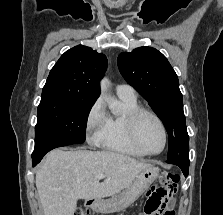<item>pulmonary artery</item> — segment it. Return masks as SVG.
<instances>
[{"label": "pulmonary artery", "instance_id": "obj_1", "mask_svg": "<svg viewBox=\"0 0 223 215\" xmlns=\"http://www.w3.org/2000/svg\"><path fill=\"white\" fill-rule=\"evenodd\" d=\"M115 90L119 97L136 98L134 89L127 84H118Z\"/></svg>", "mask_w": 223, "mask_h": 215}]
</instances>
